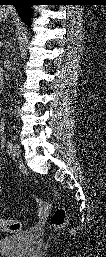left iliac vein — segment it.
Instances as JSON below:
<instances>
[{
    "mask_svg": "<svg viewBox=\"0 0 106 257\" xmlns=\"http://www.w3.org/2000/svg\"><path fill=\"white\" fill-rule=\"evenodd\" d=\"M20 153H21V150L19 146L17 145L13 146V149H12L13 158H18L20 156Z\"/></svg>",
    "mask_w": 106,
    "mask_h": 257,
    "instance_id": "left-iliac-vein-1",
    "label": "left iliac vein"
}]
</instances>
